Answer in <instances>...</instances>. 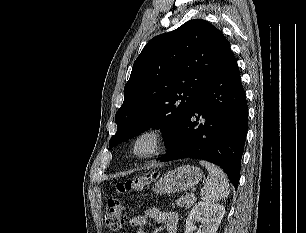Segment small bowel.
I'll use <instances>...</instances> for the list:
<instances>
[{"mask_svg": "<svg viewBox=\"0 0 306 233\" xmlns=\"http://www.w3.org/2000/svg\"><path fill=\"white\" fill-rule=\"evenodd\" d=\"M150 220L164 224L168 233H176L179 216L176 212H163L156 208H149L145 214L133 217L129 225L137 229V233H145V227Z\"/></svg>", "mask_w": 306, "mask_h": 233, "instance_id": "1", "label": "small bowel"}]
</instances>
